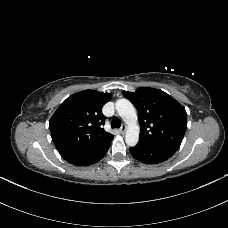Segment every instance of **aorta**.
Here are the masks:
<instances>
[{"label": "aorta", "instance_id": "obj_1", "mask_svg": "<svg viewBox=\"0 0 228 228\" xmlns=\"http://www.w3.org/2000/svg\"><path fill=\"white\" fill-rule=\"evenodd\" d=\"M115 107L120 117L127 124L125 142L128 146L133 147L138 143L140 133L135 107L127 99L117 100Z\"/></svg>", "mask_w": 228, "mask_h": 228}]
</instances>
